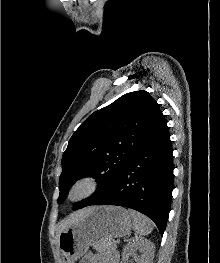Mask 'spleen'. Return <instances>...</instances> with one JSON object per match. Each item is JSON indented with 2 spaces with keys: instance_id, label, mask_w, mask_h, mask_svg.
<instances>
[{
  "instance_id": "obj_1",
  "label": "spleen",
  "mask_w": 220,
  "mask_h": 263,
  "mask_svg": "<svg viewBox=\"0 0 220 263\" xmlns=\"http://www.w3.org/2000/svg\"><path fill=\"white\" fill-rule=\"evenodd\" d=\"M133 222V230L139 236L149 235L153 230V224L149 218L134 210H129Z\"/></svg>"
}]
</instances>
